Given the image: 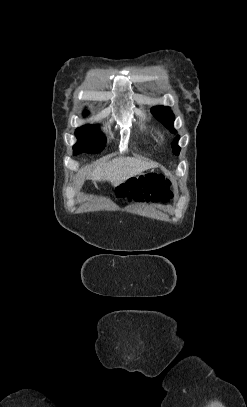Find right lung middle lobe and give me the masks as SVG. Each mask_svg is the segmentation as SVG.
Segmentation results:
<instances>
[{"mask_svg":"<svg viewBox=\"0 0 247 407\" xmlns=\"http://www.w3.org/2000/svg\"><path fill=\"white\" fill-rule=\"evenodd\" d=\"M75 134L78 138L77 143L73 146V154L79 153H98L104 146L106 139L102 133L98 132V127L86 125L77 128Z\"/></svg>","mask_w":247,"mask_h":407,"instance_id":"1","label":"right lung middle lobe"}]
</instances>
